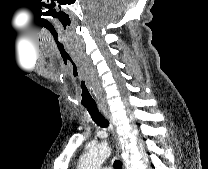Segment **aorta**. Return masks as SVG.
<instances>
[{
  "label": "aorta",
  "instance_id": "obj_1",
  "mask_svg": "<svg viewBox=\"0 0 208 169\" xmlns=\"http://www.w3.org/2000/svg\"><path fill=\"white\" fill-rule=\"evenodd\" d=\"M109 156L110 148L106 143L95 145L81 156L78 169H100Z\"/></svg>",
  "mask_w": 208,
  "mask_h": 169
}]
</instances>
